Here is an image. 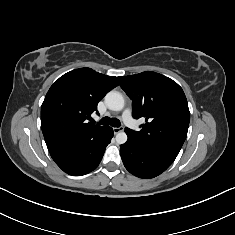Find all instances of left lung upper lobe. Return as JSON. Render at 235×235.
<instances>
[{"label":"left lung upper lobe","mask_w":235,"mask_h":235,"mask_svg":"<svg viewBox=\"0 0 235 235\" xmlns=\"http://www.w3.org/2000/svg\"><path fill=\"white\" fill-rule=\"evenodd\" d=\"M118 80L133 101V117H143L146 121L140 131L125 130L146 144L178 155L190 121L182 88L172 79L151 71Z\"/></svg>","instance_id":"obj_1"}]
</instances>
